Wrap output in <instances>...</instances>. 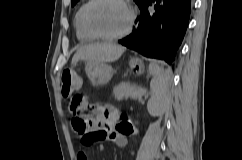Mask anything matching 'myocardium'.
<instances>
[{
    "instance_id": "f54148a6",
    "label": "myocardium",
    "mask_w": 242,
    "mask_h": 160,
    "mask_svg": "<svg viewBox=\"0 0 242 160\" xmlns=\"http://www.w3.org/2000/svg\"><path fill=\"white\" fill-rule=\"evenodd\" d=\"M99 0H90L83 12V24L84 27L86 28V30L88 31L89 34H91L93 37L98 38V39H102V40H107V41H116V40H120L124 37H126L131 30L133 29V26L135 24V20H136V11L134 9V7L132 6V4L130 3L129 0H119L121 3H123L126 8L129 11V21L128 24L126 26V28L118 33V34H114V35H107V34H102L97 32L91 25L90 20H89V14H90V10L91 8L94 6V4H96Z\"/></svg>"
}]
</instances>
